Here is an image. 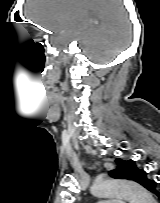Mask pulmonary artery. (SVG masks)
<instances>
[{
	"label": "pulmonary artery",
	"instance_id": "pulmonary-artery-1",
	"mask_svg": "<svg viewBox=\"0 0 160 203\" xmlns=\"http://www.w3.org/2000/svg\"><path fill=\"white\" fill-rule=\"evenodd\" d=\"M99 203H125V202L123 200L115 199V200H112V201H101Z\"/></svg>",
	"mask_w": 160,
	"mask_h": 203
}]
</instances>
